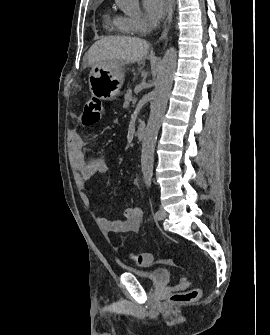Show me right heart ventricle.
<instances>
[{
	"instance_id": "right-heart-ventricle-1",
	"label": "right heart ventricle",
	"mask_w": 270,
	"mask_h": 335,
	"mask_svg": "<svg viewBox=\"0 0 270 335\" xmlns=\"http://www.w3.org/2000/svg\"><path fill=\"white\" fill-rule=\"evenodd\" d=\"M104 26L109 32L129 33L132 32L129 18L120 13L104 15ZM165 78V77H157Z\"/></svg>"
}]
</instances>
